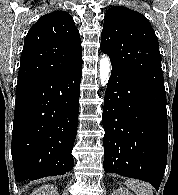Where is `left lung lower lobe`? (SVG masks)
Masks as SVG:
<instances>
[{
	"instance_id": "0a47b994",
	"label": "left lung lower lobe",
	"mask_w": 178,
	"mask_h": 195,
	"mask_svg": "<svg viewBox=\"0 0 178 195\" xmlns=\"http://www.w3.org/2000/svg\"><path fill=\"white\" fill-rule=\"evenodd\" d=\"M102 123L105 172L148 181L158 190L168 151L165 89L112 68Z\"/></svg>"
}]
</instances>
